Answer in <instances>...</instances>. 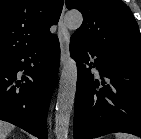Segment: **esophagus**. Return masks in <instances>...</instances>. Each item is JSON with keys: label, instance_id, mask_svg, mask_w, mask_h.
<instances>
[{"label": "esophagus", "instance_id": "34e87169", "mask_svg": "<svg viewBox=\"0 0 141 139\" xmlns=\"http://www.w3.org/2000/svg\"><path fill=\"white\" fill-rule=\"evenodd\" d=\"M65 11H66V6L64 3L62 13L58 22V39L60 43V52H61V63H60L61 68L62 66L65 65L67 61L69 55V44H70V34L64 22Z\"/></svg>", "mask_w": 141, "mask_h": 139}]
</instances>
